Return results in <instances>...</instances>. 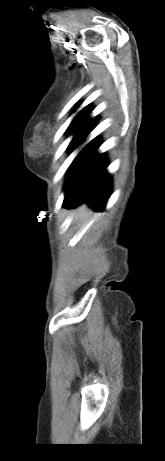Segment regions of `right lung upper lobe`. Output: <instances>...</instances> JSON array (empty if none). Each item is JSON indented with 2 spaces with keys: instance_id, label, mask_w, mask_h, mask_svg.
Listing matches in <instances>:
<instances>
[{
  "instance_id": "1",
  "label": "right lung upper lobe",
  "mask_w": 165,
  "mask_h": 461,
  "mask_svg": "<svg viewBox=\"0 0 165 461\" xmlns=\"http://www.w3.org/2000/svg\"><path fill=\"white\" fill-rule=\"evenodd\" d=\"M92 111L90 105L83 108L76 116H89Z\"/></svg>"
}]
</instances>
